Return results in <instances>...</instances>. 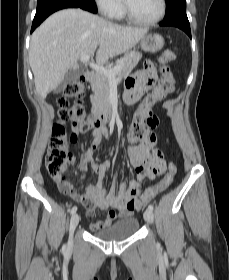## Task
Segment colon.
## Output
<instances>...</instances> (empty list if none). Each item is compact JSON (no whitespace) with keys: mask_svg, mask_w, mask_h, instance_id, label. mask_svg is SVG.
<instances>
[{"mask_svg":"<svg viewBox=\"0 0 229 280\" xmlns=\"http://www.w3.org/2000/svg\"><path fill=\"white\" fill-rule=\"evenodd\" d=\"M175 57L176 54L174 51L165 50L158 58V62L161 65L160 72L162 75L160 85L168 93L173 91L174 83H172V72L167 64L173 61ZM85 90V79L82 76H79L76 77L73 82L69 83L57 98V106L59 109L61 123H58L53 127L46 156V168L49 175L57 182L58 187L65 192L76 191L73 184L62 172V170L72 160V156L69 152V145L70 143H77L79 141V137L86 134L91 126V123L85 117V110L83 107ZM69 99L73 100V105L70 109ZM145 101L147 103H152L153 96H146ZM66 120L71 122L72 131L70 133H67L63 125V122ZM157 123L158 119L156 116L137 111L133 116L129 131L130 141L137 142L144 139L149 129L154 128ZM96 147L97 146L94 145V148ZM144 164L146 169L152 173H161L165 166L162 152L159 150L152 151L145 159ZM175 172V167L170 165L168 172L157 185L146 189L142 193L140 200L132 199L128 204L133 208L140 209L142 204L149 202L156 194L171 185Z\"/></svg>","mask_w":229,"mask_h":280,"instance_id":"colon-1","label":"colon"}]
</instances>
